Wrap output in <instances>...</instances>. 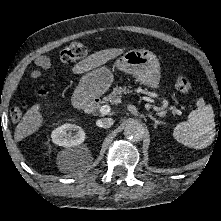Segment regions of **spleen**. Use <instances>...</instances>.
<instances>
[{
    "label": "spleen",
    "instance_id": "1",
    "mask_svg": "<svg viewBox=\"0 0 221 221\" xmlns=\"http://www.w3.org/2000/svg\"><path fill=\"white\" fill-rule=\"evenodd\" d=\"M198 108L192 111L186 122H180L173 130L174 139L195 149L209 146L216 134L214 112L203 99L197 101Z\"/></svg>",
    "mask_w": 221,
    "mask_h": 221
}]
</instances>
